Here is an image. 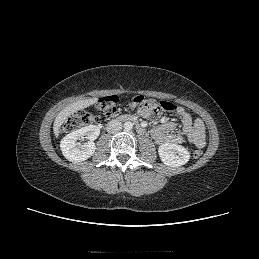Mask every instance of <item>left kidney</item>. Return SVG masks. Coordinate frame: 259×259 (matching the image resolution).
Masks as SVG:
<instances>
[{"instance_id": "5707ae66", "label": "left kidney", "mask_w": 259, "mask_h": 259, "mask_svg": "<svg viewBox=\"0 0 259 259\" xmlns=\"http://www.w3.org/2000/svg\"><path fill=\"white\" fill-rule=\"evenodd\" d=\"M161 161L170 167H179L190 159L189 151L181 145L164 143L158 148Z\"/></svg>"}]
</instances>
